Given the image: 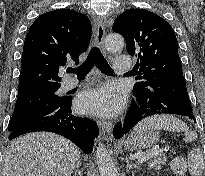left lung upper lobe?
<instances>
[{"label": "left lung upper lobe", "mask_w": 205, "mask_h": 176, "mask_svg": "<svg viewBox=\"0 0 205 176\" xmlns=\"http://www.w3.org/2000/svg\"><path fill=\"white\" fill-rule=\"evenodd\" d=\"M113 31L125 38L127 52L138 58L141 81L134 85L133 92L148 88L162 77L183 76L174 30L160 16L130 9L116 18Z\"/></svg>", "instance_id": "1"}]
</instances>
